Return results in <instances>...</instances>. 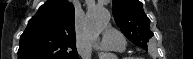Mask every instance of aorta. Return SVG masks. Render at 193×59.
<instances>
[{"label":"aorta","mask_w":193,"mask_h":59,"mask_svg":"<svg viewBox=\"0 0 193 59\" xmlns=\"http://www.w3.org/2000/svg\"><path fill=\"white\" fill-rule=\"evenodd\" d=\"M110 21V12L105 8H93L86 14L85 29L91 38H97ZM101 59H116L110 53L99 54Z\"/></svg>","instance_id":"762f6f07"}]
</instances>
